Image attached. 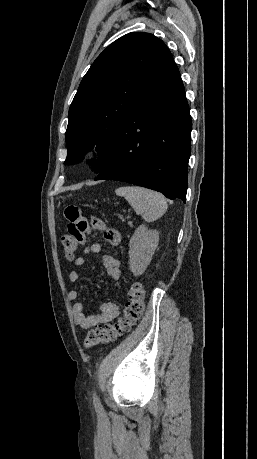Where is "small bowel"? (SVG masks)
Here are the masks:
<instances>
[{
    "label": "small bowel",
    "mask_w": 257,
    "mask_h": 459,
    "mask_svg": "<svg viewBox=\"0 0 257 459\" xmlns=\"http://www.w3.org/2000/svg\"><path fill=\"white\" fill-rule=\"evenodd\" d=\"M63 218L68 221L70 226L66 228V235L72 236L73 241H76L79 247H85V255L98 254L101 251L99 243H91L90 236H93L94 230L100 231L105 241L112 247H117L121 243V234L118 230L108 227L101 219L96 217L87 220L88 217L84 205H65ZM102 262L106 273L113 280L115 287L120 289L121 263L119 259L107 254L103 256ZM74 264L77 267H83L85 265V257H76ZM80 276L78 270H72L68 274V279L71 283H76L80 280ZM79 296L80 292L78 289H72L68 294L69 299L74 301L72 306L74 321L83 329L109 323L120 314V306L117 303L103 302L99 306L98 313L87 315L84 304L81 301H77Z\"/></svg>",
    "instance_id": "small-bowel-1"
}]
</instances>
